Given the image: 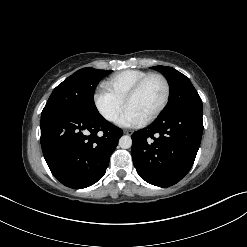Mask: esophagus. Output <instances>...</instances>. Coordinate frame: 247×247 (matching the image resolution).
Segmentation results:
<instances>
[{
  "label": "esophagus",
  "mask_w": 247,
  "mask_h": 247,
  "mask_svg": "<svg viewBox=\"0 0 247 247\" xmlns=\"http://www.w3.org/2000/svg\"><path fill=\"white\" fill-rule=\"evenodd\" d=\"M123 133L127 134V135H132L133 131L125 129V130H123Z\"/></svg>",
  "instance_id": "1"
}]
</instances>
